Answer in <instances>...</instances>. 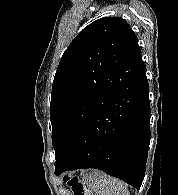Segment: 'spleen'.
Masks as SVG:
<instances>
[{
  "instance_id": "obj_1",
  "label": "spleen",
  "mask_w": 178,
  "mask_h": 195,
  "mask_svg": "<svg viewBox=\"0 0 178 195\" xmlns=\"http://www.w3.org/2000/svg\"><path fill=\"white\" fill-rule=\"evenodd\" d=\"M83 183L95 195H130L127 185L102 172L94 171L83 177Z\"/></svg>"
}]
</instances>
